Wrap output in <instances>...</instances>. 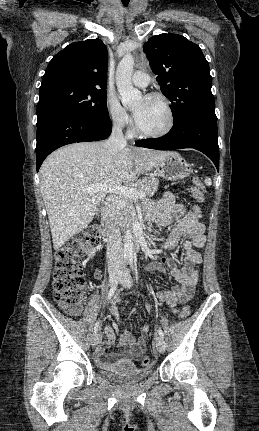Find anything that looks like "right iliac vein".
<instances>
[{"mask_svg": "<svg viewBox=\"0 0 259 431\" xmlns=\"http://www.w3.org/2000/svg\"><path fill=\"white\" fill-rule=\"evenodd\" d=\"M118 277H119V272L117 270H113L110 274L109 284L111 286L115 285V283L118 280ZM99 340H100V334L98 331H95L91 338V345L95 347L99 343Z\"/></svg>", "mask_w": 259, "mask_h": 431, "instance_id": "1", "label": "right iliac vein"}]
</instances>
